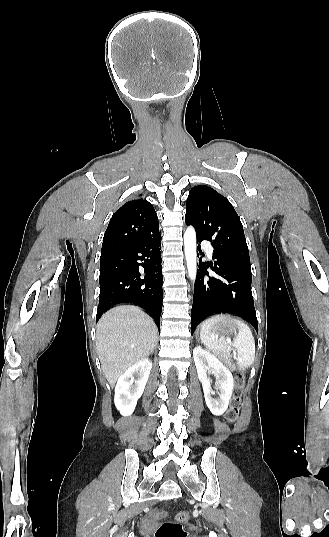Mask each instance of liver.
<instances>
[{"label":"liver","mask_w":329,"mask_h":537,"mask_svg":"<svg viewBox=\"0 0 329 537\" xmlns=\"http://www.w3.org/2000/svg\"><path fill=\"white\" fill-rule=\"evenodd\" d=\"M157 327L139 307L121 305L105 313L96 329V350L111 385L133 364L154 350Z\"/></svg>","instance_id":"1"}]
</instances>
